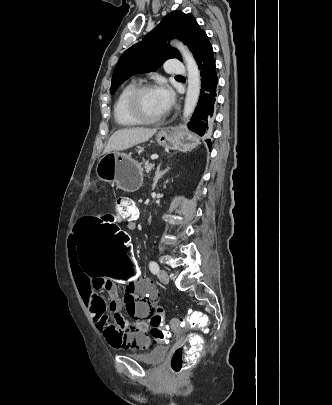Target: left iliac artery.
I'll return each instance as SVG.
<instances>
[{
  "label": "left iliac artery",
  "instance_id": "1",
  "mask_svg": "<svg viewBox=\"0 0 332 405\" xmlns=\"http://www.w3.org/2000/svg\"><path fill=\"white\" fill-rule=\"evenodd\" d=\"M149 269L153 274H157L159 271V265L155 261H150Z\"/></svg>",
  "mask_w": 332,
  "mask_h": 405
}]
</instances>
